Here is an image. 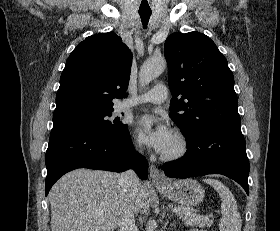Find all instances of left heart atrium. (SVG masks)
<instances>
[{
  "mask_svg": "<svg viewBox=\"0 0 280 231\" xmlns=\"http://www.w3.org/2000/svg\"><path fill=\"white\" fill-rule=\"evenodd\" d=\"M136 130L143 141L158 153H165L175 139L173 130L166 123L151 116L139 118Z\"/></svg>",
  "mask_w": 280,
  "mask_h": 231,
  "instance_id": "1",
  "label": "left heart atrium"
}]
</instances>
